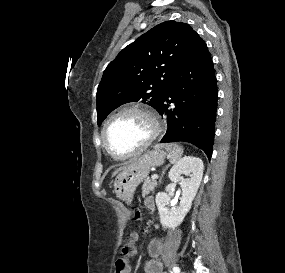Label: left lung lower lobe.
Here are the masks:
<instances>
[{"label":"left lung lower lobe","instance_id":"obj_1","mask_svg":"<svg viewBox=\"0 0 285 273\" xmlns=\"http://www.w3.org/2000/svg\"><path fill=\"white\" fill-rule=\"evenodd\" d=\"M216 82L207 45L194 31L157 109L167 119L162 143L189 142L211 158L218 99Z\"/></svg>","mask_w":285,"mask_h":273}]
</instances>
